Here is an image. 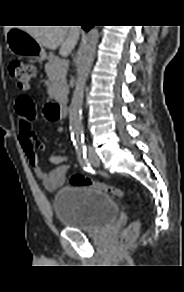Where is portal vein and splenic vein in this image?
I'll return each instance as SVG.
<instances>
[{
	"label": "portal vein and splenic vein",
	"instance_id": "portal-vein-and-splenic-vein-1",
	"mask_svg": "<svg viewBox=\"0 0 184 292\" xmlns=\"http://www.w3.org/2000/svg\"><path fill=\"white\" fill-rule=\"evenodd\" d=\"M62 64H63L64 67L67 68V66H68V62H67L66 60H63V61H62Z\"/></svg>",
	"mask_w": 184,
	"mask_h": 292
}]
</instances>
